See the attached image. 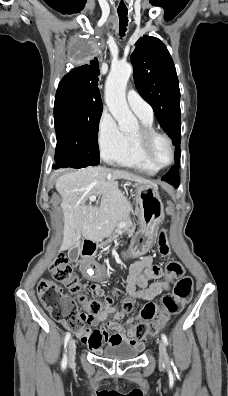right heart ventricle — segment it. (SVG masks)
<instances>
[{"label":"right heart ventricle","instance_id":"obj_1","mask_svg":"<svg viewBox=\"0 0 228 396\" xmlns=\"http://www.w3.org/2000/svg\"><path fill=\"white\" fill-rule=\"evenodd\" d=\"M139 116V115H138ZM142 125L153 128V118L139 116ZM126 147L125 150L115 159L113 162L123 166L135 169L145 174H154L157 172L156 169L150 167L142 158L136 141L133 135H126Z\"/></svg>","mask_w":228,"mask_h":396}]
</instances>
